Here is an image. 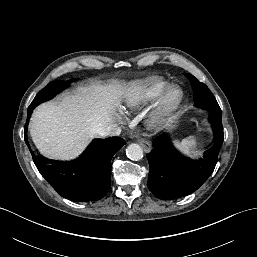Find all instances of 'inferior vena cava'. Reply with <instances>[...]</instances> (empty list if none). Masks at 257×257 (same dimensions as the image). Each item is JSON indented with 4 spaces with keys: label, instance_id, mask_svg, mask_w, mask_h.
Wrapping results in <instances>:
<instances>
[{
    "label": "inferior vena cava",
    "instance_id": "602c4592",
    "mask_svg": "<svg viewBox=\"0 0 257 257\" xmlns=\"http://www.w3.org/2000/svg\"><path fill=\"white\" fill-rule=\"evenodd\" d=\"M100 133L103 136H119L121 133V129L116 124H108L102 128Z\"/></svg>",
    "mask_w": 257,
    "mask_h": 257
}]
</instances>
